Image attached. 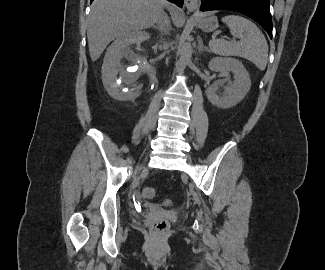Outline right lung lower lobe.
<instances>
[{
	"label": "right lung lower lobe",
	"instance_id": "98d812e1",
	"mask_svg": "<svg viewBox=\"0 0 325 270\" xmlns=\"http://www.w3.org/2000/svg\"><path fill=\"white\" fill-rule=\"evenodd\" d=\"M92 1H93V0H91V2H92ZM169 1L175 3V4L178 5L179 7H182V5H183V0H169Z\"/></svg>",
	"mask_w": 325,
	"mask_h": 270
}]
</instances>
